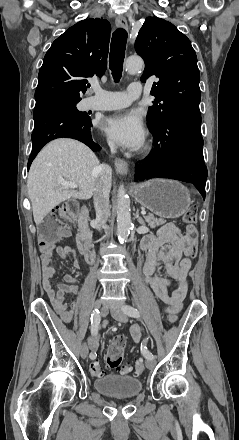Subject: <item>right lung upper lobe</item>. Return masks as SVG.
Listing matches in <instances>:
<instances>
[{
    "label": "right lung upper lobe",
    "instance_id": "right-lung-upper-lobe-1",
    "mask_svg": "<svg viewBox=\"0 0 239 440\" xmlns=\"http://www.w3.org/2000/svg\"><path fill=\"white\" fill-rule=\"evenodd\" d=\"M110 31L106 19H86L58 37L40 68L36 102L53 97L80 98L90 86L86 78L102 77L107 68Z\"/></svg>",
    "mask_w": 239,
    "mask_h": 440
}]
</instances>
